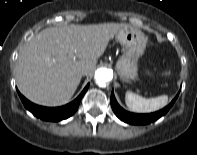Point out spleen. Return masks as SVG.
<instances>
[{
  "mask_svg": "<svg viewBox=\"0 0 197 155\" xmlns=\"http://www.w3.org/2000/svg\"><path fill=\"white\" fill-rule=\"evenodd\" d=\"M127 107L138 113H149L164 107L168 102L167 95H161L155 98L146 99L133 92L127 91L125 94Z\"/></svg>",
  "mask_w": 197,
  "mask_h": 155,
  "instance_id": "1",
  "label": "spleen"
}]
</instances>
